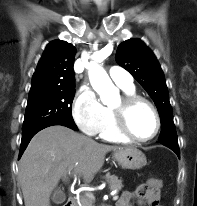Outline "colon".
<instances>
[{
  "label": "colon",
  "instance_id": "1",
  "mask_svg": "<svg viewBox=\"0 0 197 206\" xmlns=\"http://www.w3.org/2000/svg\"><path fill=\"white\" fill-rule=\"evenodd\" d=\"M148 185H149L151 188L156 189V188L160 187L161 182H160V180H158V179H156V178H152V179H150V180L148 181Z\"/></svg>",
  "mask_w": 197,
  "mask_h": 206
}]
</instances>
